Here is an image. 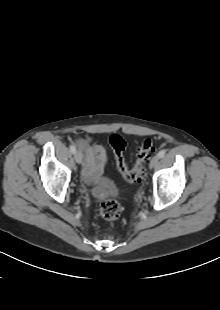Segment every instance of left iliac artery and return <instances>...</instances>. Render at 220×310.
I'll return each instance as SVG.
<instances>
[{
  "label": "left iliac artery",
  "mask_w": 220,
  "mask_h": 310,
  "mask_svg": "<svg viewBox=\"0 0 220 310\" xmlns=\"http://www.w3.org/2000/svg\"><path fill=\"white\" fill-rule=\"evenodd\" d=\"M165 153H166L165 150L159 151L158 153L159 158H163L165 156Z\"/></svg>",
  "instance_id": "obj_1"
}]
</instances>
